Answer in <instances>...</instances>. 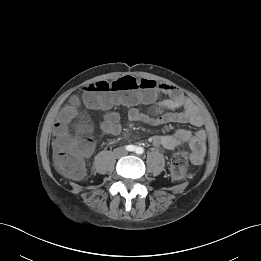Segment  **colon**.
Instances as JSON below:
<instances>
[{
	"instance_id": "colon-1",
	"label": "colon",
	"mask_w": 261,
	"mask_h": 261,
	"mask_svg": "<svg viewBox=\"0 0 261 261\" xmlns=\"http://www.w3.org/2000/svg\"><path fill=\"white\" fill-rule=\"evenodd\" d=\"M161 84L154 80L125 76L116 81H97L85 86L81 96L91 106H103L109 102L106 97H112L114 104H135L148 102L155 98ZM76 113L73 107H68L63 113V125L56 130L57 142L61 148L54 157L57 169L71 179H80L85 172L84 155L89 141L83 136L81 127L73 134L68 122L73 120ZM190 157L184 150H178L172 157L170 171L176 180L188 176Z\"/></svg>"
}]
</instances>
